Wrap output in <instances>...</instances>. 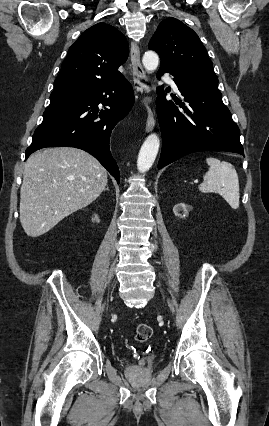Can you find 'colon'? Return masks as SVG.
Returning a JSON list of instances; mask_svg holds the SVG:
<instances>
[{"label": "colon", "instance_id": "1", "mask_svg": "<svg viewBox=\"0 0 269 426\" xmlns=\"http://www.w3.org/2000/svg\"><path fill=\"white\" fill-rule=\"evenodd\" d=\"M152 336V328L147 324H139L135 328V339L138 342H146Z\"/></svg>", "mask_w": 269, "mask_h": 426}]
</instances>
